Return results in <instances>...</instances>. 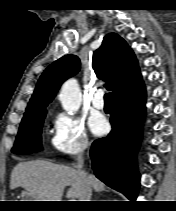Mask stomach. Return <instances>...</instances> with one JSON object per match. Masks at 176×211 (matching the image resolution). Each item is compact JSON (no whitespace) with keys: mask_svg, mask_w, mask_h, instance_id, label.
<instances>
[{"mask_svg":"<svg viewBox=\"0 0 176 211\" xmlns=\"http://www.w3.org/2000/svg\"><path fill=\"white\" fill-rule=\"evenodd\" d=\"M22 199H24L23 201H38L37 199H35L28 191L24 190L21 193Z\"/></svg>","mask_w":176,"mask_h":211,"instance_id":"0dacf381","label":"stomach"}]
</instances>
